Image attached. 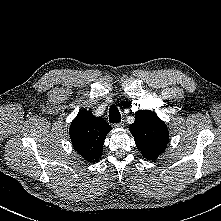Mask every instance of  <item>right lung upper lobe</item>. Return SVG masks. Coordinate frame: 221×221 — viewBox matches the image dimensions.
<instances>
[{
	"mask_svg": "<svg viewBox=\"0 0 221 221\" xmlns=\"http://www.w3.org/2000/svg\"><path fill=\"white\" fill-rule=\"evenodd\" d=\"M111 126L90 111H80L72 121L70 138L74 149L88 162L98 161Z\"/></svg>",
	"mask_w": 221,
	"mask_h": 221,
	"instance_id": "cb5924a9",
	"label": "right lung upper lobe"
}]
</instances>
